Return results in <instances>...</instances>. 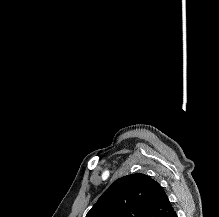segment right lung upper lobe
I'll return each instance as SVG.
<instances>
[{
	"mask_svg": "<svg viewBox=\"0 0 219 217\" xmlns=\"http://www.w3.org/2000/svg\"><path fill=\"white\" fill-rule=\"evenodd\" d=\"M173 211L160 184L137 173L116 180L86 217H168Z\"/></svg>",
	"mask_w": 219,
	"mask_h": 217,
	"instance_id": "right-lung-upper-lobe-1",
	"label": "right lung upper lobe"
}]
</instances>
